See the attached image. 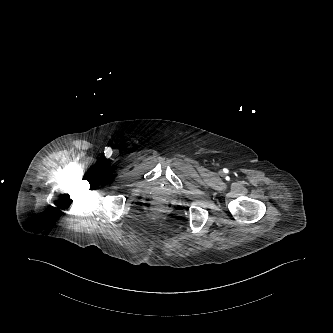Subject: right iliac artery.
<instances>
[{
  "label": "right iliac artery",
  "instance_id": "right-iliac-artery-1",
  "mask_svg": "<svg viewBox=\"0 0 333 333\" xmlns=\"http://www.w3.org/2000/svg\"><path fill=\"white\" fill-rule=\"evenodd\" d=\"M104 152H105L106 155H109V154H111L112 150H111L110 147H105Z\"/></svg>",
  "mask_w": 333,
  "mask_h": 333
}]
</instances>
